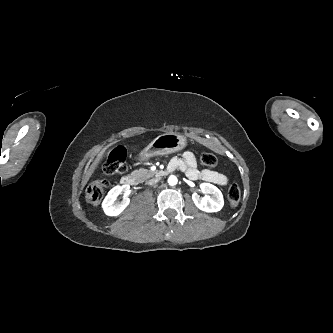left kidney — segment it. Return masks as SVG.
I'll use <instances>...</instances> for the list:
<instances>
[{"label": "left kidney", "mask_w": 333, "mask_h": 333, "mask_svg": "<svg viewBox=\"0 0 333 333\" xmlns=\"http://www.w3.org/2000/svg\"><path fill=\"white\" fill-rule=\"evenodd\" d=\"M204 197H200L197 193L192 195L193 202L202 211L218 212L224 206V199L221 191L210 183L203 182L200 184Z\"/></svg>", "instance_id": "left-kidney-1"}]
</instances>
